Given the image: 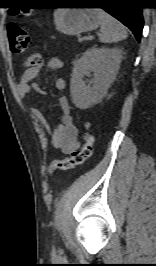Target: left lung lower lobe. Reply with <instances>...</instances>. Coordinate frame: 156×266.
<instances>
[{
  "label": "left lung lower lobe",
  "instance_id": "1",
  "mask_svg": "<svg viewBox=\"0 0 156 266\" xmlns=\"http://www.w3.org/2000/svg\"><path fill=\"white\" fill-rule=\"evenodd\" d=\"M80 5H101L102 9L127 26L140 42L143 29L141 7L134 0H68Z\"/></svg>",
  "mask_w": 156,
  "mask_h": 266
}]
</instances>
